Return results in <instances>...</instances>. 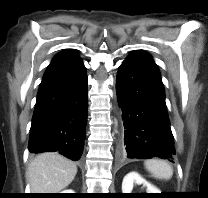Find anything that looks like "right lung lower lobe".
Returning <instances> with one entry per match:
<instances>
[{"mask_svg":"<svg viewBox=\"0 0 208 198\" xmlns=\"http://www.w3.org/2000/svg\"><path fill=\"white\" fill-rule=\"evenodd\" d=\"M87 113V74L82 61L44 78L32 118L29 151H58L77 161L83 152Z\"/></svg>","mask_w":208,"mask_h":198,"instance_id":"98d812e1","label":"right lung lower lobe"}]
</instances>
